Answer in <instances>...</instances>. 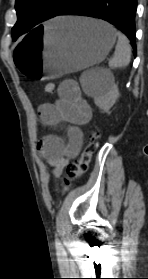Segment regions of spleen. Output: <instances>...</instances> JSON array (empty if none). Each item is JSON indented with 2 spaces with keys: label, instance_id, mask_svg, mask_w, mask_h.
Segmentation results:
<instances>
[{
  "label": "spleen",
  "instance_id": "1",
  "mask_svg": "<svg viewBox=\"0 0 148 279\" xmlns=\"http://www.w3.org/2000/svg\"><path fill=\"white\" fill-rule=\"evenodd\" d=\"M118 42L115 47L114 56L109 62L111 68L126 67L130 63L131 47L127 37L120 33H116ZM80 82L83 88L90 95H99L105 91V87L96 76V70L86 71L82 74Z\"/></svg>",
  "mask_w": 148,
  "mask_h": 279
}]
</instances>
